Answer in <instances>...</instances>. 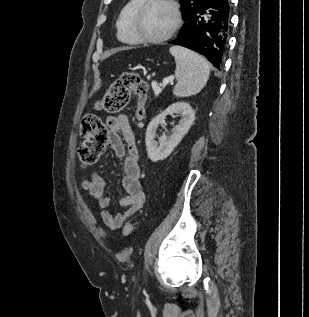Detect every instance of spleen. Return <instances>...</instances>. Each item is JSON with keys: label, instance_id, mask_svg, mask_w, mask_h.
Masks as SVG:
<instances>
[{"label": "spleen", "instance_id": "3e777b00", "mask_svg": "<svg viewBox=\"0 0 309 317\" xmlns=\"http://www.w3.org/2000/svg\"><path fill=\"white\" fill-rule=\"evenodd\" d=\"M170 53L176 62L177 83L173 89L176 97H189L199 93L206 85L210 67L197 53L181 46H172Z\"/></svg>", "mask_w": 309, "mask_h": 317}]
</instances>
